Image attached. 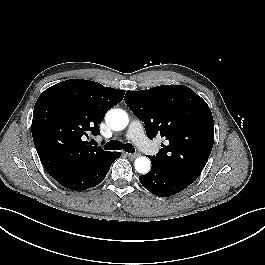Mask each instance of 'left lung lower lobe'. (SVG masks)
I'll use <instances>...</instances> for the list:
<instances>
[{
  "label": "left lung lower lobe",
  "instance_id": "0a47b994",
  "mask_svg": "<svg viewBox=\"0 0 265 265\" xmlns=\"http://www.w3.org/2000/svg\"><path fill=\"white\" fill-rule=\"evenodd\" d=\"M151 171L139 176L141 184L152 194L160 197L174 195L194 182L182 175L153 162Z\"/></svg>",
  "mask_w": 265,
  "mask_h": 265
}]
</instances>
